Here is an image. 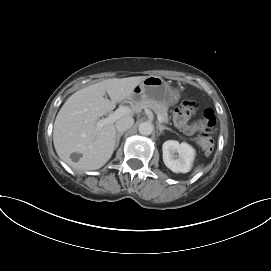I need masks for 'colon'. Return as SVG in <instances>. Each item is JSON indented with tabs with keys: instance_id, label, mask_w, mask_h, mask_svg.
Masks as SVG:
<instances>
[{
	"instance_id": "colon-1",
	"label": "colon",
	"mask_w": 271,
	"mask_h": 271,
	"mask_svg": "<svg viewBox=\"0 0 271 271\" xmlns=\"http://www.w3.org/2000/svg\"><path fill=\"white\" fill-rule=\"evenodd\" d=\"M197 106L194 100L184 101L175 110L174 121L178 127L188 134L197 132L198 146L205 154H209L214 146L212 131L216 123V117L212 109H206L203 113V118L198 124L191 123L190 119L196 112Z\"/></svg>"
}]
</instances>
